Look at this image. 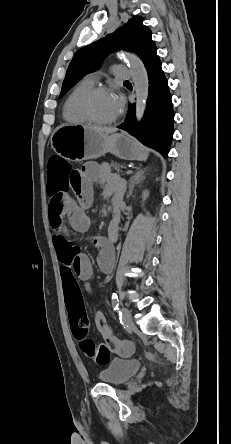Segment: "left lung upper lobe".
I'll return each instance as SVG.
<instances>
[{"label": "left lung upper lobe", "mask_w": 231, "mask_h": 444, "mask_svg": "<svg viewBox=\"0 0 231 444\" xmlns=\"http://www.w3.org/2000/svg\"><path fill=\"white\" fill-rule=\"evenodd\" d=\"M142 22L141 16H135L114 33L79 49L68 66L59 97L83 76L97 70L104 58L113 51L123 49L135 53L145 63L157 48L151 38V30Z\"/></svg>", "instance_id": "1"}]
</instances>
